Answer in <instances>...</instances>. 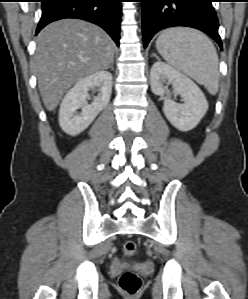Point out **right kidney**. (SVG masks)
<instances>
[{"instance_id":"1","label":"right kidney","mask_w":248,"mask_h":299,"mask_svg":"<svg viewBox=\"0 0 248 299\" xmlns=\"http://www.w3.org/2000/svg\"><path fill=\"white\" fill-rule=\"evenodd\" d=\"M98 89L99 95L94 98L92 104H88V91ZM112 92V74L105 70L97 71L86 76L66 93L59 110V123L62 130L72 136L84 131L107 107ZM82 111L78 114L77 109Z\"/></svg>"}]
</instances>
